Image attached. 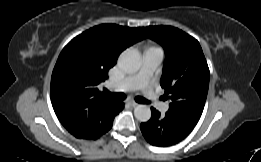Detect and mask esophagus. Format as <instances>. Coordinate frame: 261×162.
<instances>
[{
	"label": "esophagus",
	"mask_w": 261,
	"mask_h": 162,
	"mask_svg": "<svg viewBox=\"0 0 261 162\" xmlns=\"http://www.w3.org/2000/svg\"><path fill=\"white\" fill-rule=\"evenodd\" d=\"M127 104H128L129 106H131V107H136V106L139 105L138 103L133 102V101H128Z\"/></svg>",
	"instance_id": "esophagus-1"
}]
</instances>
